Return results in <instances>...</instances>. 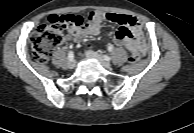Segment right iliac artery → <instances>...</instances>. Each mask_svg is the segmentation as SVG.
Segmentation results:
<instances>
[{
	"label": "right iliac artery",
	"mask_w": 194,
	"mask_h": 133,
	"mask_svg": "<svg viewBox=\"0 0 194 133\" xmlns=\"http://www.w3.org/2000/svg\"><path fill=\"white\" fill-rule=\"evenodd\" d=\"M68 59H69V60H73V59H74V53H73V51H70V52L68 53Z\"/></svg>",
	"instance_id": "right-iliac-artery-1"
}]
</instances>
